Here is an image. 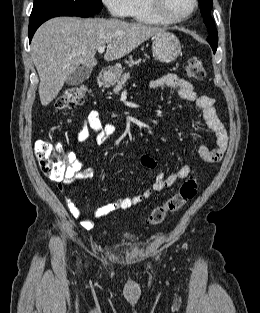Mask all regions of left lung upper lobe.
Listing matches in <instances>:
<instances>
[{"label":"left lung upper lobe","instance_id":"1","mask_svg":"<svg viewBox=\"0 0 260 313\" xmlns=\"http://www.w3.org/2000/svg\"><path fill=\"white\" fill-rule=\"evenodd\" d=\"M201 4V14L204 17V22L207 26L209 37L207 41L211 45L213 52L215 53L217 50V43H218V34L214 24V21L211 17V9L213 7L212 0H199Z\"/></svg>","mask_w":260,"mask_h":313}]
</instances>
